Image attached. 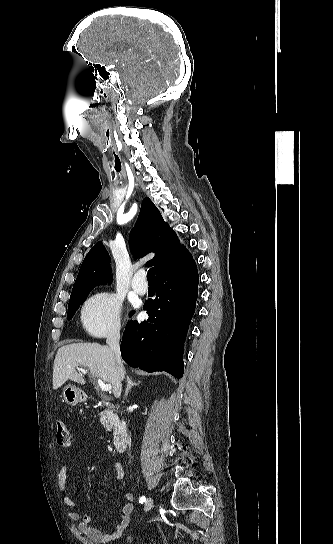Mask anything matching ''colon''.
<instances>
[{"label":"colon","mask_w":333,"mask_h":544,"mask_svg":"<svg viewBox=\"0 0 333 544\" xmlns=\"http://www.w3.org/2000/svg\"><path fill=\"white\" fill-rule=\"evenodd\" d=\"M56 429L57 443L64 448L70 447L72 445L73 438L66 423L61 420L57 421Z\"/></svg>","instance_id":"colon-1"}]
</instances>
